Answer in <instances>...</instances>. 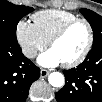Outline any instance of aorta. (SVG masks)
I'll list each match as a JSON object with an SVG mask.
<instances>
[{"label":"aorta","mask_w":102,"mask_h":102,"mask_svg":"<svg viewBox=\"0 0 102 102\" xmlns=\"http://www.w3.org/2000/svg\"><path fill=\"white\" fill-rule=\"evenodd\" d=\"M48 81L51 86L59 88L64 85L65 79L60 72H52L48 77Z\"/></svg>","instance_id":"1"}]
</instances>
